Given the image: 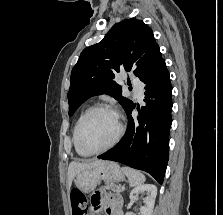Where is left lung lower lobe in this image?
I'll use <instances>...</instances> for the list:
<instances>
[{
  "mask_svg": "<svg viewBox=\"0 0 223 215\" xmlns=\"http://www.w3.org/2000/svg\"><path fill=\"white\" fill-rule=\"evenodd\" d=\"M146 84V106L139 107L133 120L135 104L126 110L128 126L121 141L100 159L126 164L151 174L163 183L169 157V130L171 127L172 86L164 59L142 80Z\"/></svg>",
  "mask_w": 223,
  "mask_h": 215,
  "instance_id": "obj_1",
  "label": "left lung lower lobe"
}]
</instances>
